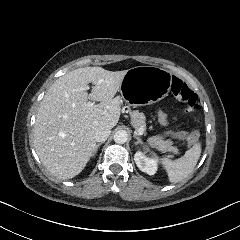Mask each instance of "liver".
<instances>
[{
    "label": "liver",
    "instance_id": "liver-1",
    "mask_svg": "<svg viewBox=\"0 0 240 240\" xmlns=\"http://www.w3.org/2000/svg\"><path fill=\"white\" fill-rule=\"evenodd\" d=\"M127 70L83 67L59 77L41 101L34 126V147L44 166L58 179L78 175L95 149L100 127L113 128L121 114L116 96ZM92 83L88 94V84ZM88 99L99 104L90 105Z\"/></svg>",
    "mask_w": 240,
    "mask_h": 240
}]
</instances>
